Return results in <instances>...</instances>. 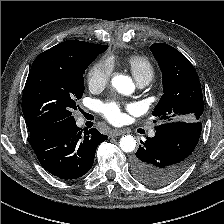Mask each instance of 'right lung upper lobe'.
Segmentation results:
<instances>
[{
	"instance_id": "right-lung-upper-lobe-1",
	"label": "right lung upper lobe",
	"mask_w": 224,
	"mask_h": 224,
	"mask_svg": "<svg viewBox=\"0 0 224 224\" xmlns=\"http://www.w3.org/2000/svg\"><path fill=\"white\" fill-rule=\"evenodd\" d=\"M101 46L99 44L88 43L77 40L64 41L44 52H42L34 62L41 61H73L83 60L97 53Z\"/></svg>"
}]
</instances>
